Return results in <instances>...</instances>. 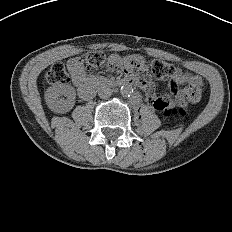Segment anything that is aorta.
Instances as JSON below:
<instances>
[{
    "mask_svg": "<svg viewBox=\"0 0 232 232\" xmlns=\"http://www.w3.org/2000/svg\"><path fill=\"white\" fill-rule=\"evenodd\" d=\"M134 92L132 85L125 84L120 88V93L123 97H130Z\"/></svg>",
    "mask_w": 232,
    "mask_h": 232,
    "instance_id": "762f6f07",
    "label": "aorta"
}]
</instances>
